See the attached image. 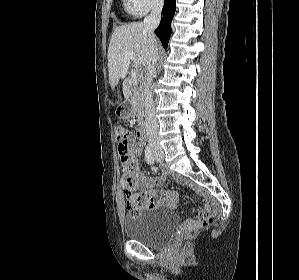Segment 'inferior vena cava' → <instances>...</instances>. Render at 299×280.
I'll return each instance as SVG.
<instances>
[{
  "instance_id": "inferior-vena-cava-1",
  "label": "inferior vena cava",
  "mask_w": 299,
  "mask_h": 280,
  "mask_svg": "<svg viewBox=\"0 0 299 280\" xmlns=\"http://www.w3.org/2000/svg\"><path fill=\"white\" fill-rule=\"evenodd\" d=\"M164 0H155L151 13L145 17L143 25L144 31L148 37L149 43V58L147 63V78L146 89L144 95L145 105V131L150 144L158 145V122L156 118L155 104L152 98V93L149 89L153 76L156 72V64L158 60L157 41L154 30L158 27L161 18V11Z\"/></svg>"
}]
</instances>
